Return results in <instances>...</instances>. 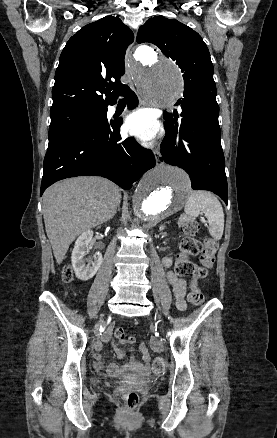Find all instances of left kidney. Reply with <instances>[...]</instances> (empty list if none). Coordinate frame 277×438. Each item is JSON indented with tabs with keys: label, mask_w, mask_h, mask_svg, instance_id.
<instances>
[{
	"label": "left kidney",
	"mask_w": 277,
	"mask_h": 438,
	"mask_svg": "<svg viewBox=\"0 0 277 438\" xmlns=\"http://www.w3.org/2000/svg\"><path fill=\"white\" fill-rule=\"evenodd\" d=\"M165 226H160V230H164Z\"/></svg>",
	"instance_id": "1"
}]
</instances>
